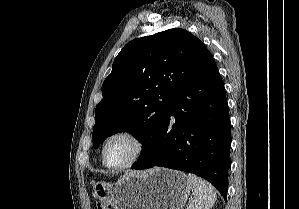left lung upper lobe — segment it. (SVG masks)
<instances>
[{"mask_svg":"<svg viewBox=\"0 0 299 209\" xmlns=\"http://www.w3.org/2000/svg\"><path fill=\"white\" fill-rule=\"evenodd\" d=\"M212 59L197 37L180 28L127 43L102 85L103 99L95 109L94 146L127 131L144 150L170 99Z\"/></svg>","mask_w":299,"mask_h":209,"instance_id":"1","label":"left lung upper lobe"}]
</instances>
